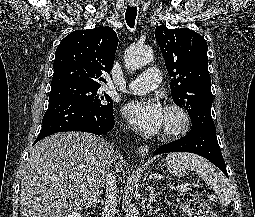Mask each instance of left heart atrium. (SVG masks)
<instances>
[{"label":"left heart atrium","mask_w":255,"mask_h":217,"mask_svg":"<svg viewBox=\"0 0 255 217\" xmlns=\"http://www.w3.org/2000/svg\"><path fill=\"white\" fill-rule=\"evenodd\" d=\"M122 113L126 120L140 133L158 134L163 125L165 110L155 100H135L125 104Z\"/></svg>","instance_id":"1"}]
</instances>
